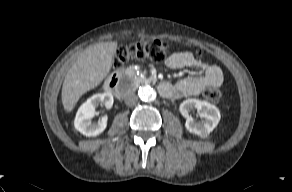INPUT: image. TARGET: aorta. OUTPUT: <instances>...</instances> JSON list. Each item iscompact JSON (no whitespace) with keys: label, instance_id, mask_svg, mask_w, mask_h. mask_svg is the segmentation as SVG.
Here are the masks:
<instances>
[{"label":"aorta","instance_id":"762f6f07","mask_svg":"<svg viewBox=\"0 0 292 192\" xmlns=\"http://www.w3.org/2000/svg\"><path fill=\"white\" fill-rule=\"evenodd\" d=\"M138 96L143 102H152L156 99V91L150 85H144L139 88Z\"/></svg>","mask_w":292,"mask_h":192}]
</instances>
